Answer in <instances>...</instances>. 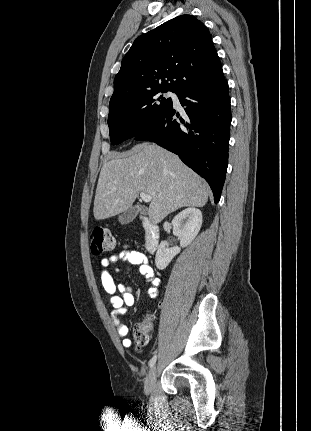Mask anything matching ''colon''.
<instances>
[{
	"mask_svg": "<svg viewBox=\"0 0 311 431\" xmlns=\"http://www.w3.org/2000/svg\"><path fill=\"white\" fill-rule=\"evenodd\" d=\"M91 240V252L93 255L110 252L116 246V240L111 231L103 227H97L92 231ZM153 328L154 320L151 316L135 324L133 338L137 349H143L148 344Z\"/></svg>",
	"mask_w": 311,
	"mask_h": 431,
	"instance_id": "obj_1",
	"label": "colon"
}]
</instances>
